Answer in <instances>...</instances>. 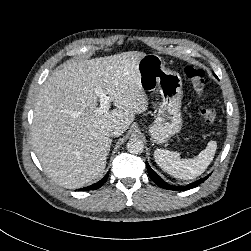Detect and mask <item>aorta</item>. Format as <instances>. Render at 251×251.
I'll return each mask as SVG.
<instances>
[{
    "label": "aorta",
    "mask_w": 251,
    "mask_h": 251,
    "mask_svg": "<svg viewBox=\"0 0 251 251\" xmlns=\"http://www.w3.org/2000/svg\"><path fill=\"white\" fill-rule=\"evenodd\" d=\"M127 150L132 154H141L144 150L143 141L138 138H131L127 143Z\"/></svg>",
    "instance_id": "obj_1"
}]
</instances>
